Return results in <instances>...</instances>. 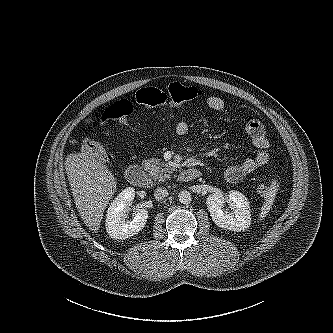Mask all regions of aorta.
<instances>
[{"mask_svg": "<svg viewBox=\"0 0 333 333\" xmlns=\"http://www.w3.org/2000/svg\"><path fill=\"white\" fill-rule=\"evenodd\" d=\"M179 201L182 204H189L191 202V193L187 190H183L178 195Z\"/></svg>", "mask_w": 333, "mask_h": 333, "instance_id": "aorta-1", "label": "aorta"}]
</instances>
